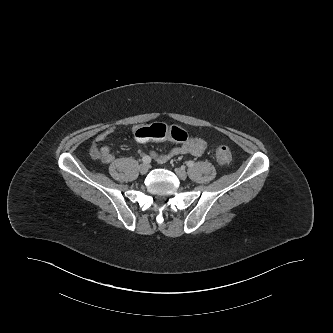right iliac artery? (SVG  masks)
<instances>
[{"label": "right iliac artery", "mask_w": 333, "mask_h": 333, "mask_svg": "<svg viewBox=\"0 0 333 333\" xmlns=\"http://www.w3.org/2000/svg\"><path fill=\"white\" fill-rule=\"evenodd\" d=\"M142 161H143V163L149 164V163L151 162V157L148 156V155H145V156L142 158Z\"/></svg>", "instance_id": "right-iliac-artery-1"}]
</instances>
